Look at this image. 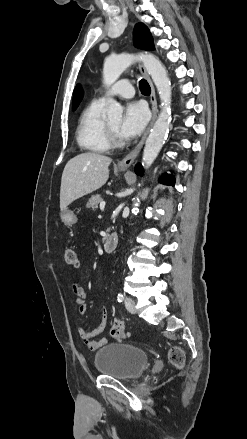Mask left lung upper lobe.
<instances>
[{
    "label": "left lung upper lobe",
    "mask_w": 247,
    "mask_h": 439,
    "mask_svg": "<svg viewBox=\"0 0 247 439\" xmlns=\"http://www.w3.org/2000/svg\"><path fill=\"white\" fill-rule=\"evenodd\" d=\"M134 43L137 48L150 50L153 49V40L148 28L139 23L134 29Z\"/></svg>",
    "instance_id": "left-lung-upper-lobe-1"
}]
</instances>
